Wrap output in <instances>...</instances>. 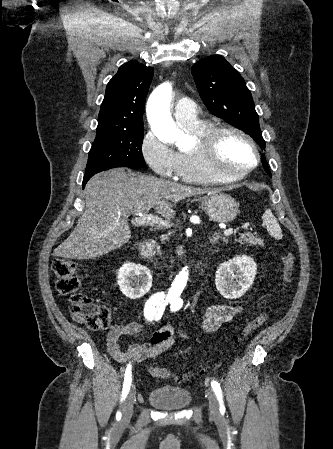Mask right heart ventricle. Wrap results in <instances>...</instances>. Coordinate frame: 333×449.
Masks as SVG:
<instances>
[{"label":"right heart ventricle","instance_id":"obj_1","mask_svg":"<svg viewBox=\"0 0 333 449\" xmlns=\"http://www.w3.org/2000/svg\"><path fill=\"white\" fill-rule=\"evenodd\" d=\"M213 127L211 124L198 123L193 126H182V128L195 137H200L209 128ZM178 155V170L177 178L190 183L209 184L223 182L212 177L204 168L200 156L195 148L187 151H179Z\"/></svg>","mask_w":333,"mask_h":449}]
</instances>
